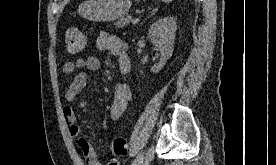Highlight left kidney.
Returning a JSON list of instances; mask_svg holds the SVG:
<instances>
[{"label":"left kidney","instance_id":"left-kidney-1","mask_svg":"<svg viewBox=\"0 0 276 165\" xmlns=\"http://www.w3.org/2000/svg\"><path fill=\"white\" fill-rule=\"evenodd\" d=\"M176 18L167 16L157 20L149 29L148 37L151 43L160 50V61L151 68V72H159L174 50Z\"/></svg>","mask_w":276,"mask_h":165}]
</instances>
